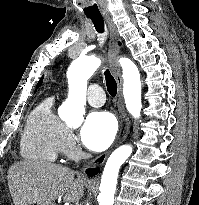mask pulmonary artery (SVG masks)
<instances>
[{"label":"pulmonary artery","instance_id":"e3ab8cb5","mask_svg":"<svg viewBox=\"0 0 199 205\" xmlns=\"http://www.w3.org/2000/svg\"><path fill=\"white\" fill-rule=\"evenodd\" d=\"M87 101L90 105L98 107L105 102V93L98 84H92L88 88Z\"/></svg>","mask_w":199,"mask_h":205}]
</instances>
